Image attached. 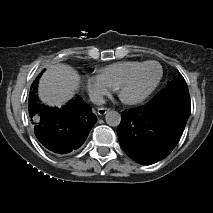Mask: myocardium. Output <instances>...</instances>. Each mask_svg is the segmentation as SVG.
<instances>
[{"mask_svg":"<svg viewBox=\"0 0 213 213\" xmlns=\"http://www.w3.org/2000/svg\"><path fill=\"white\" fill-rule=\"evenodd\" d=\"M149 64H153L156 65L158 67L159 70V74L158 77L154 83V85L152 86V88L146 92L144 95L138 97V98H134V99H128L124 96V89L125 87L133 80V78L135 77V75L137 74V72L143 68L146 65ZM162 76H163V69L161 67V65L156 62V61H144L141 62L138 66H136L134 69H132L130 71V73L120 82L118 88H117V92H118V96L121 99L122 102H124L127 105H137L140 104L142 102H144L147 98H149L152 93L157 89V87L159 86L161 80H162Z\"/></svg>","mask_w":213,"mask_h":213,"instance_id":"1","label":"myocardium"}]
</instances>
